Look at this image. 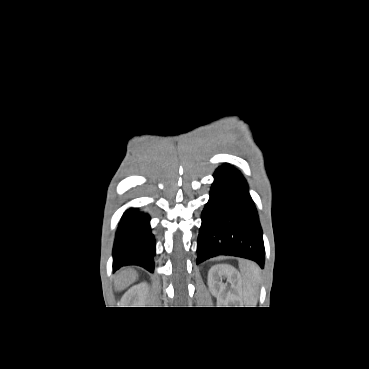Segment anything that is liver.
I'll return each instance as SVG.
<instances>
[{"mask_svg": "<svg viewBox=\"0 0 369 369\" xmlns=\"http://www.w3.org/2000/svg\"><path fill=\"white\" fill-rule=\"evenodd\" d=\"M138 277V273L131 268L122 270L115 281V287L117 290H123L130 286Z\"/></svg>", "mask_w": 369, "mask_h": 369, "instance_id": "obj_1", "label": "liver"}]
</instances>
